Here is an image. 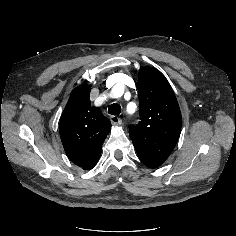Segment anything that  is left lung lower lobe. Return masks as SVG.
<instances>
[{
    "label": "left lung lower lobe",
    "instance_id": "left-lung-lower-lobe-1",
    "mask_svg": "<svg viewBox=\"0 0 236 236\" xmlns=\"http://www.w3.org/2000/svg\"><path fill=\"white\" fill-rule=\"evenodd\" d=\"M139 158L147 167H150V168H157L163 163L159 160L151 159L144 156H139Z\"/></svg>",
    "mask_w": 236,
    "mask_h": 236
}]
</instances>
